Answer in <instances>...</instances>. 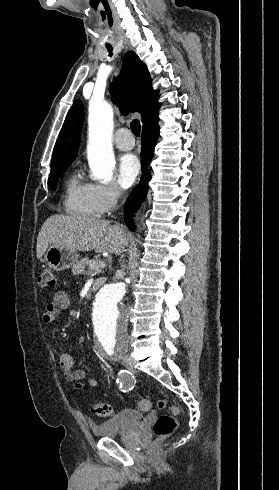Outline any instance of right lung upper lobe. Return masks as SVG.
<instances>
[{"mask_svg":"<svg viewBox=\"0 0 279 490\" xmlns=\"http://www.w3.org/2000/svg\"><path fill=\"white\" fill-rule=\"evenodd\" d=\"M109 90L113 101L124 114L128 111L142 114L143 131L158 127V92L151 87V77L146 65L133 51L125 55L121 76L114 79ZM83 121V106L77 100L69 110L56 141L51 170L70 165L75 160Z\"/></svg>","mask_w":279,"mask_h":490,"instance_id":"right-lung-upper-lobe-1","label":"right lung upper lobe"}]
</instances>
